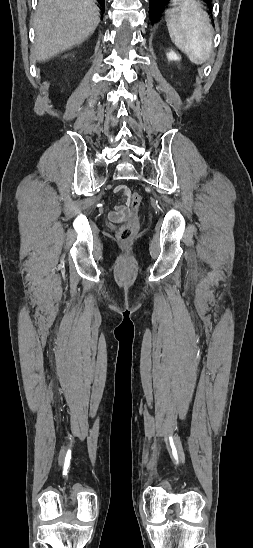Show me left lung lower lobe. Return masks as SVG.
I'll return each mask as SVG.
<instances>
[{
	"label": "left lung lower lobe",
	"instance_id": "1",
	"mask_svg": "<svg viewBox=\"0 0 253 548\" xmlns=\"http://www.w3.org/2000/svg\"><path fill=\"white\" fill-rule=\"evenodd\" d=\"M170 0H150V16L154 18L158 12L164 7V4ZM207 3L208 7L211 9L212 0H203Z\"/></svg>",
	"mask_w": 253,
	"mask_h": 548
}]
</instances>
